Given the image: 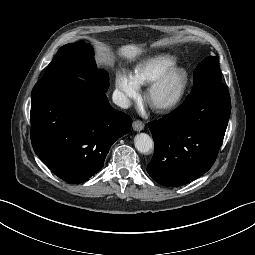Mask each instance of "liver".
Segmentation results:
<instances>
[{
    "instance_id": "obj_1",
    "label": "liver",
    "mask_w": 255,
    "mask_h": 255,
    "mask_svg": "<svg viewBox=\"0 0 255 255\" xmlns=\"http://www.w3.org/2000/svg\"><path fill=\"white\" fill-rule=\"evenodd\" d=\"M142 48L133 44L124 45L117 49V54L128 60H134L142 53Z\"/></svg>"
}]
</instances>
